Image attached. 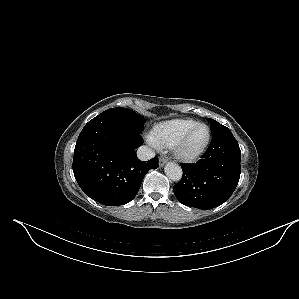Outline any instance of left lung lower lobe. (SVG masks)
<instances>
[{"instance_id":"1","label":"left lung lower lobe","mask_w":299,"mask_h":299,"mask_svg":"<svg viewBox=\"0 0 299 299\" xmlns=\"http://www.w3.org/2000/svg\"><path fill=\"white\" fill-rule=\"evenodd\" d=\"M241 151L231 131L213 133L208 150L196 164L181 165L183 176L174 194L185 206L209 210L223 204L240 178Z\"/></svg>"}]
</instances>
